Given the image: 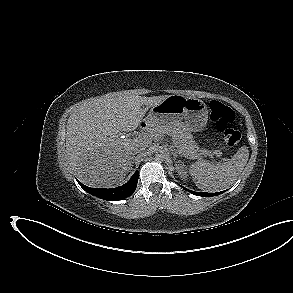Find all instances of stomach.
Wrapping results in <instances>:
<instances>
[{"label": "stomach", "mask_w": 293, "mask_h": 293, "mask_svg": "<svg viewBox=\"0 0 293 293\" xmlns=\"http://www.w3.org/2000/svg\"><path fill=\"white\" fill-rule=\"evenodd\" d=\"M208 113L209 110L202 100L175 94L153 106L146 122L150 126H157L184 119L190 131L198 132L206 126Z\"/></svg>", "instance_id": "0dacf381"}]
</instances>
